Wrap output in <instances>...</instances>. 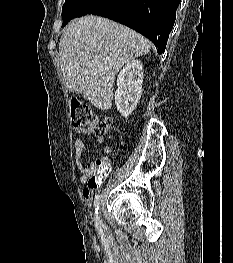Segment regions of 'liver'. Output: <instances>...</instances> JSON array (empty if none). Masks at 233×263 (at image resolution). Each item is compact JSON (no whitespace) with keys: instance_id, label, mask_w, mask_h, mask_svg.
<instances>
[{"instance_id":"6515ba94","label":"liver","mask_w":233,"mask_h":263,"mask_svg":"<svg viewBox=\"0 0 233 263\" xmlns=\"http://www.w3.org/2000/svg\"><path fill=\"white\" fill-rule=\"evenodd\" d=\"M151 42L134 30L98 16L70 23L59 43L60 67L69 91L101 110L112 107L114 80L121 67L147 54ZM93 66H89V63Z\"/></svg>"}]
</instances>
